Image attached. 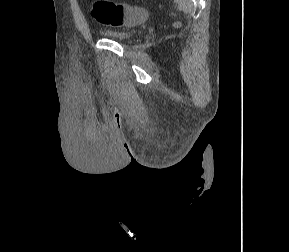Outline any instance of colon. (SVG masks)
<instances>
[{
	"mask_svg": "<svg viewBox=\"0 0 289 252\" xmlns=\"http://www.w3.org/2000/svg\"><path fill=\"white\" fill-rule=\"evenodd\" d=\"M91 14L97 22L115 27L135 25L149 18V13L144 8L110 0H94L91 4Z\"/></svg>",
	"mask_w": 289,
	"mask_h": 252,
	"instance_id": "obj_1",
	"label": "colon"
}]
</instances>
